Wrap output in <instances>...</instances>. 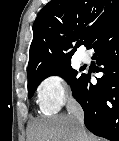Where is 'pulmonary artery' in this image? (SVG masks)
I'll use <instances>...</instances> for the list:
<instances>
[{
    "instance_id": "obj_1",
    "label": "pulmonary artery",
    "mask_w": 119,
    "mask_h": 141,
    "mask_svg": "<svg viewBox=\"0 0 119 141\" xmlns=\"http://www.w3.org/2000/svg\"><path fill=\"white\" fill-rule=\"evenodd\" d=\"M80 60L83 63H89L90 62V56L87 53L83 52V53L80 54Z\"/></svg>"
}]
</instances>
